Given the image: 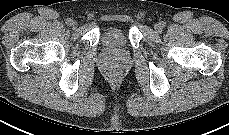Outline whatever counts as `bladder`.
I'll use <instances>...</instances> for the list:
<instances>
[{
    "label": "bladder",
    "instance_id": "bladder-1",
    "mask_svg": "<svg viewBox=\"0 0 229 135\" xmlns=\"http://www.w3.org/2000/svg\"><path fill=\"white\" fill-rule=\"evenodd\" d=\"M123 39V33L121 30L116 28H110L103 34V40L106 44L112 45L120 42Z\"/></svg>",
    "mask_w": 229,
    "mask_h": 135
}]
</instances>
